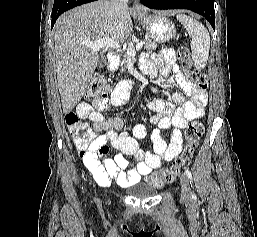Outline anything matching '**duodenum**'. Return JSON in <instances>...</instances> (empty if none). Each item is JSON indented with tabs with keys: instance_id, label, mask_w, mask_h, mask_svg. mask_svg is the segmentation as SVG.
I'll return each instance as SVG.
<instances>
[{
	"instance_id": "obj_1",
	"label": "duodenum",
	"mask_w": 257,
	"mask_h": 237,
	"mask_svg": "<svg viewBox=\"0 0 257 237\" xmlns=\"http://www.w3.org/2000/svg\"><path fill=\"white\" fill-rule=\"evenodd\" d=\"M117 64H118V56L114 53H111L109 56V67L115 68Z\"/></svg>"
}]
</instances>
